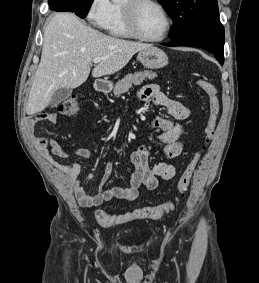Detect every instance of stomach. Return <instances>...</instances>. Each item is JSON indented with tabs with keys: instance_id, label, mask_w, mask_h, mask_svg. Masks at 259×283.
<instances>
[{
	"instance_id": "obj_1",
	"label": "stomach",
	"mask_w": 259,
	"mask_h": 283,
	"mask_svg": "<svg viewBox=\"0 0 259 283\" xmlns=\"http://www.w3.org/2000/svg\"><path fill=\"white\" fill-rule=\"evenodd\" d=\"M137 59L147 68L159 69L168 64L166 53L158 47L149 46L140 50Z\"/></svg>"
}]
</instances>
